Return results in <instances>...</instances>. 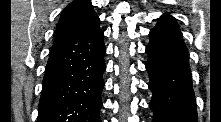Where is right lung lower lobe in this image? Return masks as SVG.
Listing matches in <instances>:
<instances>
[{
    "instance_id": "right-lung-lower-lobe-1",
    "label": "right lung lower lobe",
    "mask_w": 221,
    "mask_h": 122,
    "mask_svg": "<svg viewBox=\"0 0 221 122\" xmlns=\"http://www.w3.org/2000/svg\"><path fill=\"white\" fill-rule=\"evenodd\" d=\"M103 37L97 22L52 47L37 122H101Z\"/></svg>"
}]
</instances>
